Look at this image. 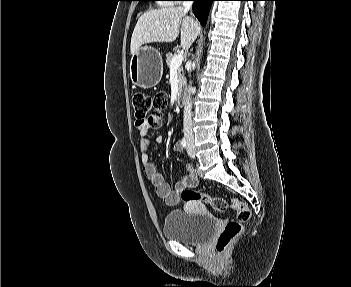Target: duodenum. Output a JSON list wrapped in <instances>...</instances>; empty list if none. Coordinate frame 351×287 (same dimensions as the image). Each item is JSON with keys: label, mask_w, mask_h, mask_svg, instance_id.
Listing matches in <instances>:
<instances>
[{"label": "duodenum", "mask_w": 351, "mask_h": 287, "mask_svg": "<svg viewBox=\"0 0 351 287\" xmlns=\"http://www.w3.org/2000/svg\"><path fill=\"white\" fill-rule=\"evenodd\" d=\"M176 102H177L178 105H181V104L184 103L182 90H178V92L176 93Z\"/></svg>", "instance_id": "duodenum-1"}]
</instances>
